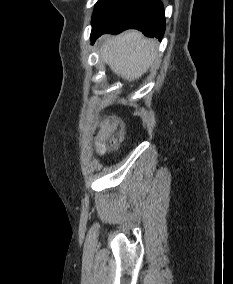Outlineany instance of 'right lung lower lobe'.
Segmentation results:
<instances>
[{"mask_svg":"<svg viewBox=\"0 0 233 284\" xmlns=\"http://www.w3.org/2000/svg\"><path fill=\"white\" fill-rule=\"evenodd\" d=\"M131 28L162 38L165 16L160 0H113L92 23L91 41L104 33L117 34Z\"/></svg>","mask_w":233,"mask_h":284,"instance_id":"98d812e1","label":"right lung lower lobe"}]
</instances>
